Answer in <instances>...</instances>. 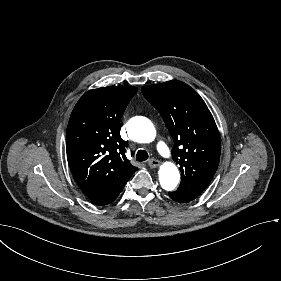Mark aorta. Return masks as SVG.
Segmentation results:
<instances>
[{
    "label": "aorta",
    "instance_id": "762f6f07",
    "mask_svg": "<svg viewBox=\"0 0 281 281\" xmlns=\"http://www.w3.org/2000/svg\"><path fill=\"white\" fill-rule=\"evenodd\" d=\"M130 137L139 143H150L156 137V130L152 122L145 117L132 119L127 126ZM159 181L161 187L166 191L176 188L180 180L178 168L171 162H165L160 166Z\"/></svg>",
    "mask_w": 281,
    "mask_h": 281
}]
</instances>
